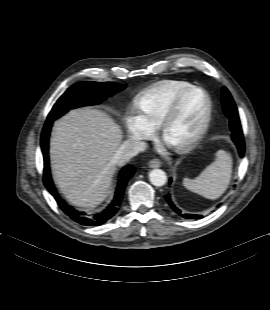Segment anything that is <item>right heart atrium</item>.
<instances>
[{
	"label": "right heart atrium",
	"mask_w": 270,
	"mask_h": 310,
	"mask_svg": "<svg viewBox=\"0 0 270 310\" xmlns=\"http://www.w3.org/2000/svg\"><path fill=\"white\" fill-rule=\"evenodd\" d=\"M124 124L128 136L136 140L150 137L155 130V127L146 120L136 104H130L126 108Z\"/></svg>",
	"instance_id": "1"
}]
</instances>
